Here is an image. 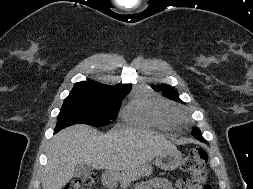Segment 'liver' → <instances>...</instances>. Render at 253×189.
<instances>
[{
	"label": "liver",
	"instance_id": "obj_1",
	"mask_svg": "<svg viewBox=\"0 0 253 189\" xmlns=\"http://www.w3.org/2000/svg\"><path fill=\"white\" fill-rule=\"evenodd\" d=\"M175 148L165 137L142 129L114 128L101 134L87 125H73L50 141L42 188H63L81 163L95 169L123 171L129 182L140 177L145 165L156 156Z\"/></svg>",
	"mask_w": 253,
	"mask_h": 189
}]
</instances>
